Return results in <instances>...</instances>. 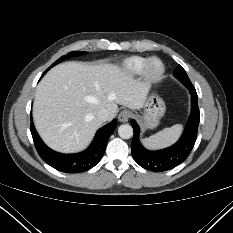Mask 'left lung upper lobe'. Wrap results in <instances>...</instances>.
I'll return each mask as SVG.
<instances>
[{
    "instance_id": "1",
    "label": "left lung upper lobe",
    "mask_w": 233,
    "mask_h": 233,
    "mask_svg": "<svg viewBox=\"0 0 233 233\" xmlns=\"http://www.w3.org/2000/svg\"><path fill=\"white\" fill-rule=\"evenodd\" d=\"M174 76L180 80L185 86L192 84L190 79L188 78L185 70L179 65L177 69L174 71Z\"/></svg>"
}]
</instances>
